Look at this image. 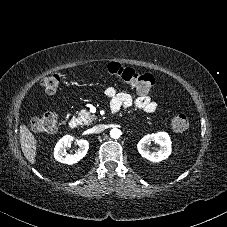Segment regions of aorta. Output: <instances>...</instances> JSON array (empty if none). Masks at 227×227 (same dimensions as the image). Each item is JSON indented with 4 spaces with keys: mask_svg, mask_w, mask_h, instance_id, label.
Wrapping results in <instances>:
<instances>
[{
    "mask_svg": "<svg viewBox=\"0 0 227 227\" xmlns=\"http://www.w3.org/2000/svg\"><path fill=\"white\" fill-rule=\"evenodd\" d=\"M120 135H121V132H120L119 129L114 128V129H112V130L110 131V136H111V138H113V139L119 138Z\"/></svg>",
    "mask_w": 227,
    "mask_h": 227,
    "instance_id": "obj_1",
    "label": "aorta"
}]
</instances>
